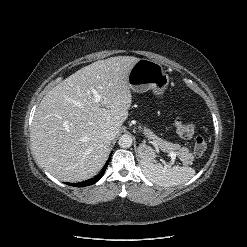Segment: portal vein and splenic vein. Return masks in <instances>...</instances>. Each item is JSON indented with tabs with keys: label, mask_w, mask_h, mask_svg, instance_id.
<instances>
[{
	"label": "portal vein and splenic vein",
	"mask_w": 247,
	"mask_h": 247,
	"mask_svg": "<svg viewBox=\"0 0 247 247\" xmlns=\"http://www.w3.org/2000/svg\"><path fill=\"white\" fill-rule=\"evenodd\" d=\"M91 92L94 96V101L98 103L101 100V96L97 93L95 89H92ZM169 156L171 157L172 163L175 162L177 154L173 151H170Z\"/></svg>",
	"instance_id": "18ae733b"
}]
</instances>
